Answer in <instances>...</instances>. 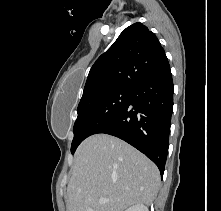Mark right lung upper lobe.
Returning <instances> with one entry per match:
<instances>
[{
    "label": "right lung upper lobe",
    "instance_id": "1",
    "mask_svg": "<svg viewBox=\"0 0 221 211\" xmlns=\"http://www.w3.org/2000/svg\"><path fill=\"white\" fill-rule=\"evenodd\" d=\"M170 69L164 49L142 23L122 31L114 44L90 69L81 100L119 89Z\"/></svg>",
    "mask_w": 221,
    "mask_h": 211
}]
</instances>
